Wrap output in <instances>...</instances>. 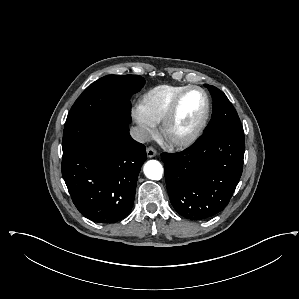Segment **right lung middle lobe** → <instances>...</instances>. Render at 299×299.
<instances>
[{"mask_svg": "<svg viewBox=\"0 0 299 299\" xmlns=\"http://www.w3.org/2000/svg\"><path fill=\"white\" fill-rule=\"evenodd\" d=\"M144 84V78L138 75H107L90 85L75 101L67 117L62 140L63 153L107 123H130L129 99Z\"/></svg>", "mask_w": 299, "mask_h": 299, "instance_id": "obj_1", "label": "right lung middle lobe"}]
</instances>
